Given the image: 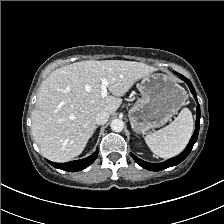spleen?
Wrapping results in <instances>:
<instances>
[{
    "label": "spleen",
    "mask_w": 224,
    "mask_h": 224,
    "mask_svg": "<svg viewBox=\"0 0 224 224\" xmlns=\"http://www.w3.org/2000/svg\"><path fill=\"white\" fill-rule=\"evenodd\" d=\"M193 133V117L183 108L177 118L166 127L145 136L150 150L161 158H171L181 153Z\"/></svg>",
    "instance_id": "3e777b00"
}]
</instances>
